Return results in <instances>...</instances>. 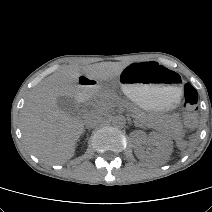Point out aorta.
<instances>
[{"label": "aorta", "instance_id": "1", "mask_svg": "<svg viewBox=\"0 0 212 212\" xmlns=\"http://www.w3.org/2000/svg\"><path fill=\"white\" fill-rule=\"evenodd\" d=\"M112 124L117 128H123L126 124V119L122 115L115 116L112 120Z\"/></svg>", "mask_w": 212, "mask_h": 212}]
</instances>
